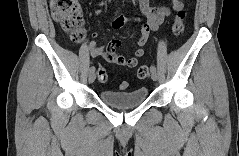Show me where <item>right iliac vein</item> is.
Segmentation results:
<instances>
[{"label": "right iliac vein", "instance_id": "1", "mask_svg": "<svg viewBox=\"0 0 239 156\" xmlns=\"http://www.w3.org/2000/svg\"><path fill=\"white\" fill-rule=\"evenodd\" d=\"M96 78L95 71H90L88 75V81L89 83H93Z\"/></svg>", "mask_w": 239, "mask_h": 156}]
</instances>
